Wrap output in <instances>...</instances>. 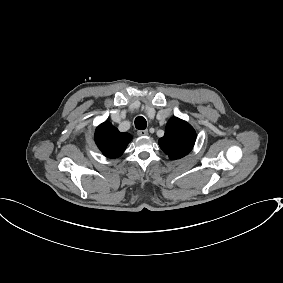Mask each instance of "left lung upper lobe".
<instances>
[{
    "instance_id": "left-lung-upper-lobe-1",
    "label": "left lung upper lobe",
    "mask_w": 283,
    "mask_h": 283,
    "mask_svg": "<svg viewBox=\"0 0 283 283\" xmlns=\"http://www.w3.org/2000/svg\"><path fill=\"white\" fill-rule=\"evenodd\" d=\"M196 132L186 121L177 117L171 118L166 127L165 134L158 144L171 160L186 156L193 148Z\"/></svg>"
}]
</instances>
